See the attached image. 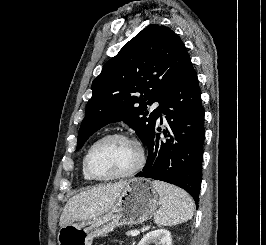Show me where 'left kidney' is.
<instances>
[{"label":"left kidney","mask_w":266,"mask_h":245,"mask_svg":"<svg viewBox=\"0 0 266 245\" xmlns=\"http://www.w3.org/2000/svg\"><path fill=\"white\" fill-rule=\"evenodd\" d=\"M150 243H156V245H172L171 233L166 231V229L150 231V233L144 235L138 245H150Z\"/></svg>","instance_id":"left-kidney-1"}]
</instances>
